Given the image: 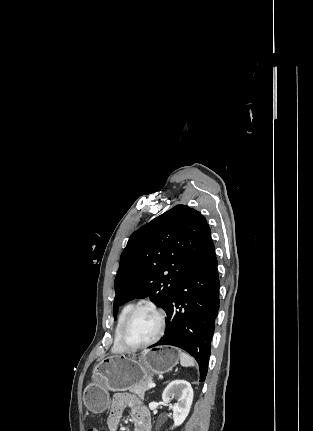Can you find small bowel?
Returning <instances> with one entry per match:
<instances>
[{
	"label": "small bowel",
	"mask_w": 313,
	"mask_h": 431,
	"mask_svg": "<svg viewBox=\"0 0 313 431\" xmlns=\"http://www.w3.org/2000/svg\"><path fill=\"white\" fill-rule=\"evenodd\" d=\"M129 406L136 421L137 426L134 431H150L151 419L148 411L133 396L126 393H116L113 396L110 414L108 417V427L111 431H116L122 417L123 410Z\"/></svg>",
	"instance_id": "1"
}]
</instances>
